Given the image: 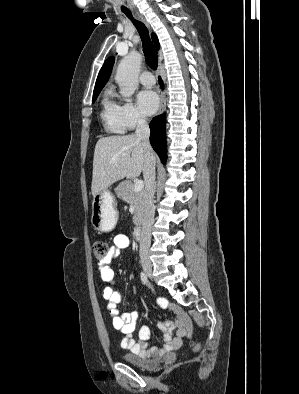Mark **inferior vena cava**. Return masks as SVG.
Listing matches in <instances>:
<instances>
[{
    "label": "inferior vena cava",
    "instance_id": "602c4592",
    "mask_svg": "<svg viewBox=\"0 0 299 394\" xmlns=\"http://www.w3.org/2000/svg\"><path fill=\"white\" fill-rule=\"evenodd\" d=\"M150 129L143 116H138L135 131L136 139L141 143L146 151V162L143 170L145 181L144 192V216L140 236V259L142 264H150L149 249L151 245V229L154 223V194H155V158L152 155V148L149 142Z\"/></svg>",
    "mask_w": 299,
    "mask_h": 394
}]
</instances>
